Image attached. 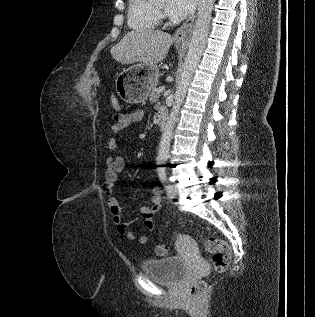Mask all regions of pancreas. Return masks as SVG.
Instances as JSON below:
<instances>
[{
	"label": "pancreas",
	"instance_id": "obj_1",
	"mask_svg": "<svg viewBox=\"0 0 315 317\" xmlns=\"http://www.w3.org/2000/svg\"><path fill=\"white\" fill-rule=\"evenodd\" d=\"M159 97H160V92H159V89L155 85L152 87V90L150 91V97H149L150 102L156 103Z\"/></svg>",
	"mask_w": 315,
	"mask_h": 317
}]
</instances>
